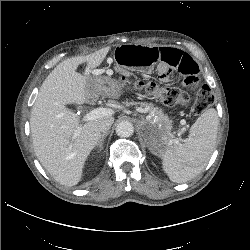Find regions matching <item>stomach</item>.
I'll list each match as a JSON object with an SVG mask.
<instances>
[{
  "mask_svg": "<svg viewBox=\"0 0 250 250\" xmlns=\"http://www.w3.org/2000/svg\"><path fill=\"white\" fill-rule=\"evenodd\" d=\"M86 91L88 98H96L99 95L117 97L119 94L116 82L109 77L91 78Z\"/></svg>",
  "mask_w": 250,
  "mask_h": 250,
  "instance_id": "1",
  "label": "stomach"
}]
</instances>
